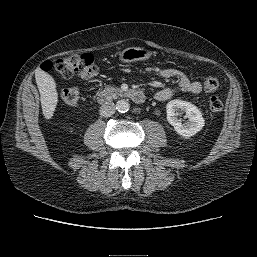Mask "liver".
Instances as JSON below:
<instances>
[{"mask_svg": "<svg viewBox=\"0 0 257 257\" xmlns=\"http://www.w3.org/2000/svg\"><path fill=\"white\" fill-rule=\"evenodd\" d=\"M35 78L41 96L43 115L46 119H51L58 103L55 80L50 74L42 70L36 71Z\"/></svg>", "mask_w": 257, "mask_h": 257, "instance_id": "6515ba94", "label": "liver"}]
</instances>
